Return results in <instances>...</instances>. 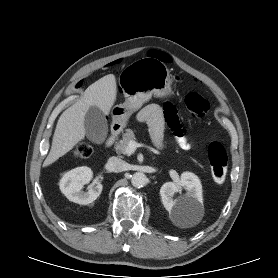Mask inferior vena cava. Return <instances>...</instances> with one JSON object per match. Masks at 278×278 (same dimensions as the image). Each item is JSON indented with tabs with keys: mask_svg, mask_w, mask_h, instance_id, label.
Masks as SVG:
<instances>
[{
	"mask_svg": "<svg viewBox=\"0 0 278 278\" xmlns=\"http://www.w3.org/2000/svg\"><path fill=\"white\" fill-rule=\"evenodd\" d=\"M107 166L113 172H122L126 170L127 164L120 158L110 157Z\"/></svg>",
	"mask_w": 278,
	"mask_h": 278,
	"instance_id": "obj_1",
	"label": "inferior vena cava"
}]
</instances>
